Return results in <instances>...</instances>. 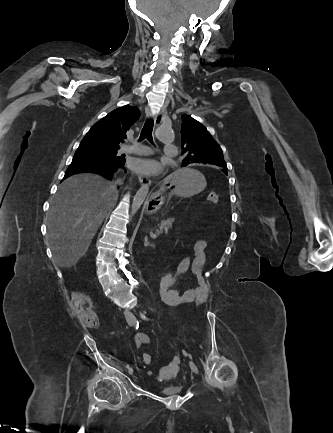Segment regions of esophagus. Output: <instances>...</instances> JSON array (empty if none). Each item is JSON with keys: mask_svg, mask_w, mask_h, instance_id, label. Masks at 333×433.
<instances>
[{"mask_svg": "<svg viewBox=\"0 0 333 433\" xmlns=\"http://www.w3.org/2000/svg\"><path fill=\"white\" fill-rule=\"evenodd\" d=\"M167 112L165 109H162L161 111H159L156 116H155V128H158L161 126L163 119L166 117ZM138 181L140 182V184H142L143 186H147L150 184V179L147 175H143V174H139L138 175Z\"/></svg>", "mask_w": 333, "mask_h": 433, "instance_id": "obj_1", "label": "esophagus"}]
</instances>
